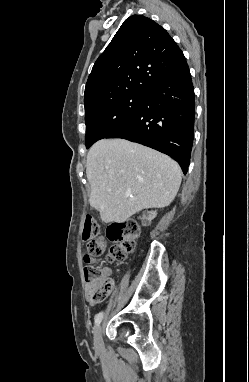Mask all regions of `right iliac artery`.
<instances>
[{"instance_id": "obj_1", "label": "right iliac artery", "mask_w": 249, "mask_h": 382, "mask_svg": "<svg viewBox=\"0 0 249 382\" xmlns=\"http://www.w3.org/2000/svg\"><path fill=\"white\" fill-rule=\"evenodd\" d=\"M103 316H104L103 312L96 314V316H95V325L96 326H99V324L102 322Z\"/></svg>"}]
</instances>
